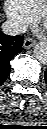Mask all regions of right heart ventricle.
<instances>
[{
	"label": "right heart ventricle",
	"mask_w": 47,
	"mask_h": 129,
	"mask_svg": "<svg viewBox=\"0 0 47 129\" xmlns=\"http://www.w3.org/2000/svg\"><path fill=\"white\" fill-rule=\"evenodd\" d=\"M22 5L33 15L36 16L37 12L42 8L46 0H19Z\"/></svg>",
	"instance_id": "obj_1"
}]
</instances>
